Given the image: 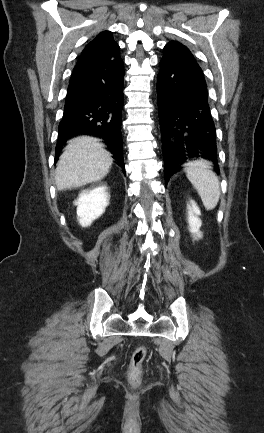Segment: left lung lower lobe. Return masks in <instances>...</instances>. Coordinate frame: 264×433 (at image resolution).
<instances>
[{
  "mask_svg": "<svg viewBox=\"0 0 264 433\" xmlns=\"http://www.w3.org/2000/svg\"><path fill=\"white\" fill-rule=\"evenodd\" d=\"M157 94L165 184L181 164L193 157L211 160L219 172L206 81L193 55L182 51L164 53Z\"/></svg>",
  "mask_w": 264,
  "mask_h": 433,
  "instance_id": "0a47b994",
  "label": "left lung lower lobe"
}]
</instances>
